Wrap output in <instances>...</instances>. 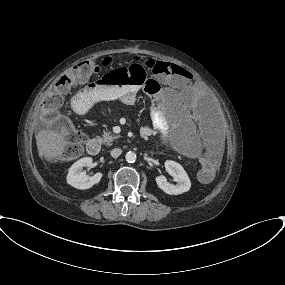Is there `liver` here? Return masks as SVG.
<instances>
[{"label":"liver","mask_w":285,"mask_h":285,"mask_svg":"<svg viewBox=\"0 0 285 285\" xmlns=\"http://www.w3.org/2000/svg\"><path fill=\"white\" fill-rule=\"evenodd\" d=\"M36 144L40 157L48 161L57 162L62 158L68 141L65 133L42 129L36 134Z\"/></svg>","instance_id":"obj_1"}]
</instances>
